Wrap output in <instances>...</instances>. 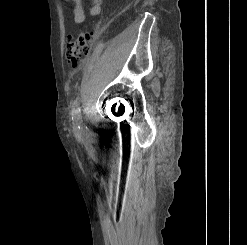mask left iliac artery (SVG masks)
<instances>
[{
	"label": "left iliac artery",
	"mask_w": 247,
	"mask_h": 245,
	"mask_svg": "<svg viewBox=\"0 0 247 245\" xmlns=\"http://www.w3.org/2000/svg\"><path fill=\"white\" fill-rule=\"evenodd\" d=\"M72 119H73L74 125L80 128L82 117H81V108L79 106L78 100H75L72 106Z\"/></svg>",
	"instance_id": "44dca946"
}]
</instances>
